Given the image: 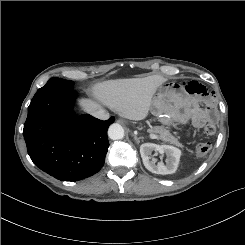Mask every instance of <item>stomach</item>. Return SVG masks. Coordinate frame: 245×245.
Here are the masks:
<instances>
[{
	"mask_svg": "<svg viewBox=\"0 0 245 245\" xmlns=\"http://www.w3.org/2000/svg\"><path fill=\"white\" fill-rule=\"evenodd\" d=\"M151 113L167 126L186 124L192 115L187 92L174 82H164L151 102Z\"/></svg>",
	"mask_w": 245,
	"mask_h": 245,
	"instance_id": "0dacf381",
	"label": "stomach"
}]
</instances>
